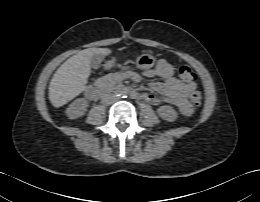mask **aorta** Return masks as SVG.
Instances as JSON below:
<instances>
[{
    "label": "aorta",
    "mask_w": 260,
    "mask_h": 202,
    "mask_svg": "<svg viewBox=\"0 0 260 202\" xmlns=\"http://www.w3.org/2000/svg\"><path fill=\"white\" fill-rule=\"evenodd\" d=\"M121 95H123V94H122V93H119V94H118V96H121Z\"/></svg>",
    "instance_id": "762f6f07"
}]
</instances>
